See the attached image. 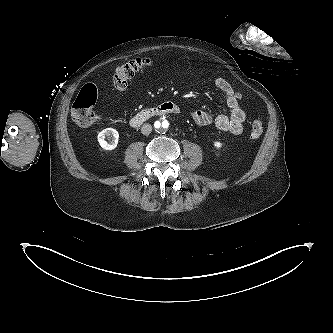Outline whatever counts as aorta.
<instances>
[{
    "label": "aorta",
    "instance_id": "1",
    "mask_svg": "<svg viewBox=\"0 0 333 333\" xmlns=\"http://www.w3.org/2000/svg\"><path fill=\"white\" fill-rule=\"evenodd\" d=\"M155 130L158 132V133H164L168 130L169 128V123L166 119L164 120H159V121H156L155 124Z\"/></svg>",
    "mask_w": 333,
    "mask_h": 333
}]
</instances>
